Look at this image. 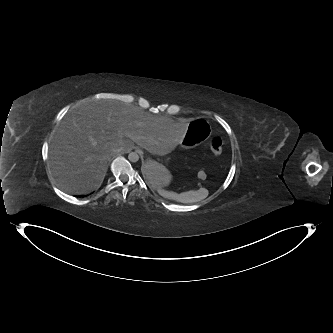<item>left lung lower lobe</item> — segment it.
<instances>
[{
	"label": "left lung lower lobe",
	"mask_w": 333,
	"mask_h": 333,
	"mask_svg": "<svg viewBox=\"0 0 333 333\" xmlns=\"http://www.w3.org/2000/svg\"><path fill=\"white\" fill-rule=\"evenodd\" d=\"M144 173H145V176L149 179V176L152 174V170H151V168H149L148 165L144 168Z\"/></svg>",
	"instance_id": "left-lung-lower-lobe-1"
}]
</instances>
